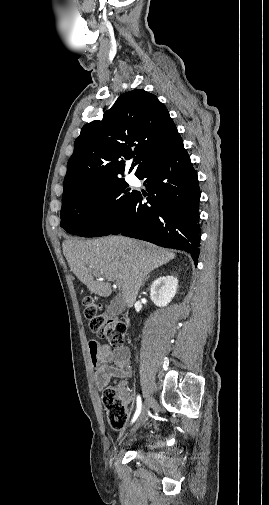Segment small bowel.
Segmentation results:
<instances>
[{
	"label": "small bowel",
	"mask_w": 269,
	"mask_h": 505,
	"mask_svg": "<svg viewBox=\"0 0 269 505\" xmlns=\"http://www.w3.org/2000/svg\"><path fill=\"white\" fill-rule=\"evenodd\" d=\"M89 353L95 368V383L99 390H104L111 378L127 380L131 376L128 348L112 349L107 344H98L92 340L89 342ZM119 397L123 403H131L128 389L121 388Z\"/></svg>",
	"instance_id": "obj_1"
}]
</instances>
